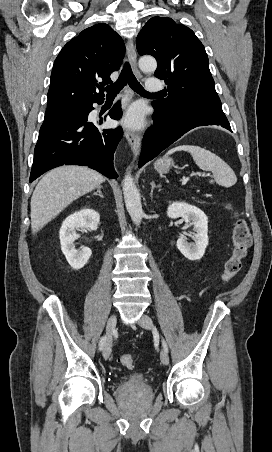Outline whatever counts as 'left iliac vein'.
<instances>
[{"instance_id":"1","label":"left iliac vein","mask_w":272,"mask_h":452,"mask_svg":"<svg viewBox=\"0 0 272 452\" xmlns=\"http://www.w3.org/2000/svg\"><path fill=\"white\" fill-rule=\"evenodd\" d=\"M139 325L148 330H153L154 328L152 319L146 314H143L140 318ZM160 360L163 365H168L169 363V356L165 349H162L160 352Z\"/></svg>"}]
</instances>
